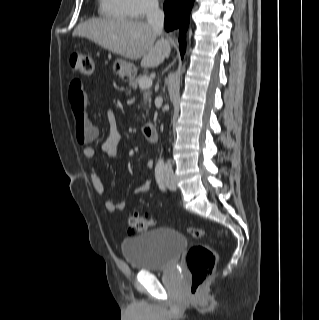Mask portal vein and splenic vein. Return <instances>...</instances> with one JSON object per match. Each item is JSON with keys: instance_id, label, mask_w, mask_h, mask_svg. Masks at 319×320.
I'll return each instance as SVG.
<instances>
[{"instance_id": "portal-vein-and-splenic-vein-1", "label": "portal vein and splenic vein", "mask_w": 319, "mask_h": 320, "mask_svg": "<svg viewBox=\"0 0 319 320\" xmlns=\"http://www.w3.org/2000/svg\"><path fill=\"white\" fill-rule=\"evenodd\" d=\"M152 86V79L151 77L148 76H143L140 80H139V87L141 89H145V88H149Z\"/></svg>"}]
</instances>
